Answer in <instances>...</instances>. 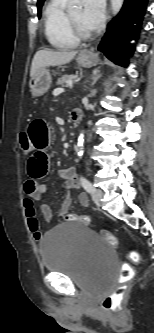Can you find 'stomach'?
Here are the masks:
<instances>
[{
	"mask_svg": "<svg viewBox=\"0 0 154 333\" xmlns=\"http://www.w3.org/2000/svg\"><path fill=\"white\" fill-rule=\"evenodd\" d=\"M76 61L83 67H92L97 64L98 57L93 53L83 51L78 55ZM51 82L52 78L49 70L46 68L38 69L29 82L32 96L40 97L44 95L50 88Z\"/></svg>",
	"mask_w": 154,
	"mask_h": 333,
	"instance_id": "obj_1",
	"label": "stomach"
}]
</instances>
